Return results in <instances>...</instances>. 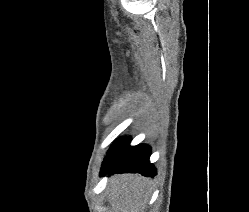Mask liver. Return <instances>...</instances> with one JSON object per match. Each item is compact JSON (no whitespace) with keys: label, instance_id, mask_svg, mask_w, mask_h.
Listing matches in <instances>:
<instances>
[{"label":"liver","instance_id":"liver-1","mask_svg":"<svg viewBox=\"0 0 249 212\" xmlns=\"http://www.w3.org/2000/svg\"><path fill=\"white\" fill-rule=\"evenodd\" d=\"M152 184L139 174H115L108 180L107 202L112 212H145Z\"/></svg>","mask_w":249,"mask_h":212}]
</instances>
